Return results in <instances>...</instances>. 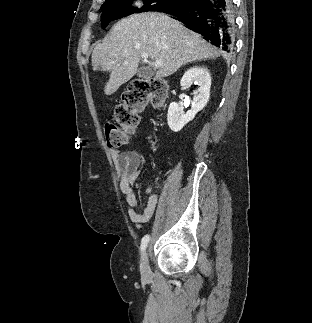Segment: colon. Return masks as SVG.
<instances>
[{
    "mask_svg": "<svg viewBox=\"0 0 312 323\" xmlns=\"http://www.w3.org/2000/svg\"><path fill=\"white\" fill-rule=\"evenodd\" d=\"M167 97L165 79L161 77L132 78L113 109V122L105 126L108 146L122 147L131 139L139 124V114L147 106L158 107Z\"/></svg>",
    "mask_w": 312,
    "mask_h": 323,
    "instance_id": "colon-1",
    "label": "colon"
}]
</instances>
